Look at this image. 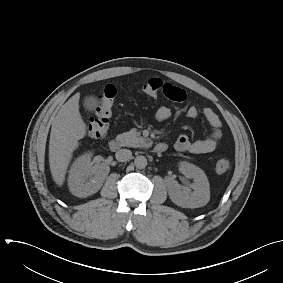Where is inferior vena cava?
Segmentation results:
<instances>
[{"instance_id":"obj_1","label":"inferior vena cava","mask_w":283,"mask_h":283,"mask_svg":"<svg viewBox=\"0 0 283 283\" xmlns=\"http://www.w3.org/2000/svg\"><path fill=\"white\" fill-rule=\"evenodd\" d=\"M115 156L118 161L125 162L132 158V152L128 149H120L116 152Z\"/></svg>"}]
</instances>
